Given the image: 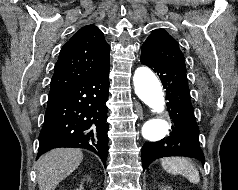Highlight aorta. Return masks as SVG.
<instances>
[{
	"label": "aorta",
	"instance_id": "762f6f07",
	"mask_svg": "<svg viewBox=\"0 0 238 190\" xmlns=\"http://www.w3.org/2000/svg\"><path fill=\"white\" fill-rule=\"evenodd\" d=\"M133 83L136 95L157 115H164V92L155 74L147 67H139ZM169 130L168 122L162 117H152L145 121L142 136L149 142L163 139Z\"/></svg>",
	"mask_w": 238,
	"mask_h": 190
}]
</instances>
